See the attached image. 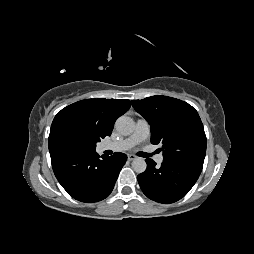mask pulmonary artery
<instances>
[{"instance_id":"obj_1","label":"pulmonary artery","mask_w":254,"mask_h":254,"mask_svg":"<svg viewBox=\"0 0 254 254\" xmlns=\"http://www.w3.org/2000/svg\"><path fill=\"white\" fill-rule=\"evenodd\" d=\"M150 135V125L145 119H138L134 128L133 133L122 140L104 143L102 149L104 150H114V151H124L132 148L140 142L146 140ZM154 160L160 164L163 161V155L158 154L155 156Z\"/></svg>"}]
</instances>
